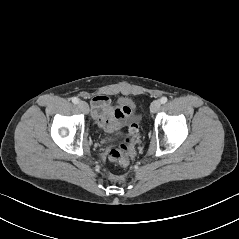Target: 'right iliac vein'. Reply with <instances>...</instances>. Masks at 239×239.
<instances>
[{
  "mask_svg": "<svg viewBox=\"0 0 239 239\" xmlns=\"http://www.w3.org/2000/svg\"><path fill=\"white\" fill-rule=\"evenodd\" d=\"M78 107L80 108V110H82L85 113H88L89 111V106L85 101H80L78 103Z\"/></svg>",
  "mask_w": 239,
  "mask_h": 239,
  "instance_id": "1",
  "label": "right iliac vein"
}]
</instances>
